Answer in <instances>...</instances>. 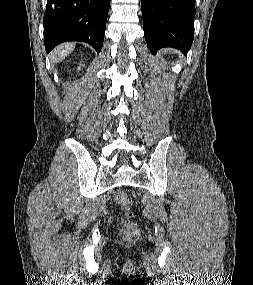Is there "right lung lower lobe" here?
Here are the masks:
<instances>
[{
  "instance_id": "right-lung-lower-lobe-1",
  "label": "right lung lower lobe",
  "mask_w": 253,
  "mask_h": 285,
  "mask_svg": "<svg viewBox=\"0 0 253 285\" xmlns=\"http://www.w3.org/2000/svg\"><path fill=\"white\" fill-rule=\"evenodd\" d=\"M110 0H48L43 18L44 44L49 53L65 41H83L100 52Z\"/></svg>"
}]
</instances>
